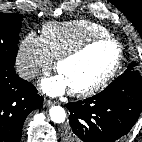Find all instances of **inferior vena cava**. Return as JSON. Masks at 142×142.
Here are the masks:
<instances>
[{
    "instance_id": "1",
    "label": "inferior vena cava",
    "mask_w": 142,
    "mask_h": 142,
    "mask_svg": "<svg viewBox=\"0 0 142 142\" xmlns=\"http://www.w3.org/2000/svg\"><path fill=\"white\" fill-rule=\"evenodd\" d=\"M39 69L36 66H25L18 69V74L22 79L30 80L37 76Z\"/></svg>"
}]
</instances>
